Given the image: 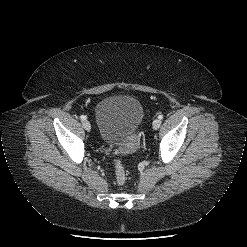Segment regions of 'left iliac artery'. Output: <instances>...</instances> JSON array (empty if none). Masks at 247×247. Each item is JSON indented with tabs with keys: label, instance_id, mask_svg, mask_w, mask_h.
Segmentation results:
<instances>
[{
	"label": "left iliac artery",
	"instance_id": "left-iliac-artery-1",
	"mask_svg": "<svg viewBox=\"0 0 247 247\" xmlns=\"http://www.w3.org/2000/svg\"><path fill=\"white\" fill-rule=\"evenodd\" d=\"M158 118H159L160 120H162V119H163V115H159Z\"/></svg>",
	"mask_w": 247,
	"mask_h": 247
}]
</instances>
